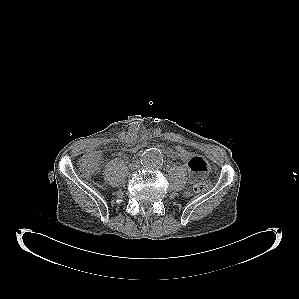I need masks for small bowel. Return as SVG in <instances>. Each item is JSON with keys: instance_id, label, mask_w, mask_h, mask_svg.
I'll use <instances>...</instances> for the list:
<instances>
[{"instance_id": "1", "label": "small bowel", "mask_w": 299, "mask_h": 299, "mask_svg": "<svg viewBox=\"0 0 299 299\" xmlns=\"http://www.w3.org/2000/svg\"><path fill=\"white\" fill-rule=\"evenodd\" d=\"M133 139L130 138L128 140L127 145L123 147V150L126 152L135 153L137 152L140 147L139 145H133ZM188 169L190 170V181L195 182L200 177L204 176L208 172V164L205 159L199 155L192 154L191 160L187 164Z\"/></svg>"}]
</instances>
